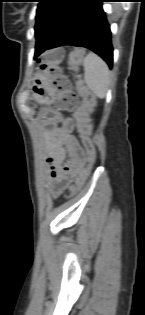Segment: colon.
Segmentation results:
<instances>
[{
	"label": "colon",
	"mask_w": 145,
	"mask_h": 315,
	"mask_svg": "<svg viewBox=\"0 0 145 315\" xmlns=\"http://www.w3.org/2000/svg\"><path fill=\"white\" fill-rule=\"evenodd\" d=\"M83 52L75 50L69 57V64L72 68L76 69L82 62ZM63 60V51L54 49L46 52L39 59L40 67L43 71L48 72L54 82L56 99L55 104L58 109L65 111H73L76 120L77 131L82 140L83 146L87 152L88 160L90 163L89 170L96 160V148L91 139V124L89 115L95 106V98L91 92L85 87L79 85L78 93L74 92L68 79L61 73V62ZM86 176L79 180L72 188L75 192L76 189L84 182Z\"/></svg>",
	"instance_id": "1"
}]
</instances>
